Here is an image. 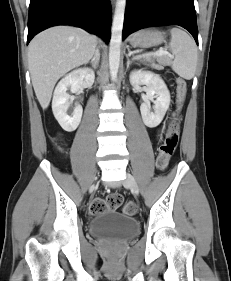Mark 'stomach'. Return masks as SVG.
Instances as JSON below:
<instances>
[{"instance_id":"obj_1","label":"stomach","mask_w":231,"mask_h":281,"mask_svg":"<svg viewBox=\"0 0 231 281\" xmlns=\"http://www.w3.org/2000/svg\"><path fill=\"white\" fill-rule=\"evenodd\" d=\"M129 42L133 47H151L164 42V34L155 29H145L134 33Z\"/></svg>"}]
</instances>
